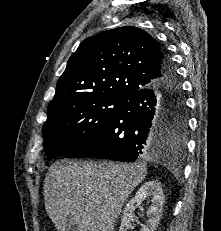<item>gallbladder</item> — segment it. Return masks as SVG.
I'll return each mask as SVG.
<instances>
[{"mask_svg":"<svg viewBox=\"0 0 221 231\" xmlns=\"http://www.w3.org/2000/svg\"><path fill=\"white\" fill-rule=\"evenodd\" d=\"M69 221L71 222V228H74L75 227V223H74V221H73V219H72L71 216L69 217Z\"/></svg>","mask_w":221,"mask_h":231,"instance_id":"1","label":"gallbladder"}]
</instances>
